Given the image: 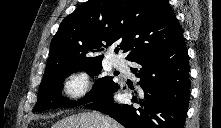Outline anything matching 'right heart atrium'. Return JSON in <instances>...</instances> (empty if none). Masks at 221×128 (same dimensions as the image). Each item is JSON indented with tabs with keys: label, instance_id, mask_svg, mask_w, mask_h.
<instances>
[{
	"label": "right heart atrium",
	"instance_id": "right-heart-atrium-1",
	"mask_svg": "<svg viewBox=\"0 0 221 128\" xmlns=\"http://www.w3.org/2000/svg\"><path fill=\"white\" fill-rule=\"evenodd\" d=\"M89 87V77L84 71L72 72L64 85V93L71 99L84 95Z\"/></svg>",
	"mask_w": 221,
	"mask_h": 128
}]
</instances>
